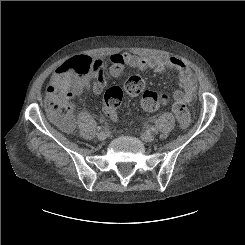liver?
<instances>
[{"mask_svg": "<svg viewBox=\"0 0 245 245\" xmlns=\"http://www.w3.org/2000/svg\"><path fill=\"white\" fill-rule=\"evenodd\" d=\"M68 87V82H65V88H67Z\"/></svg>", "mask_w": 245, "mask_h": 245, "instance_id": "6515ba94", "label": "liver"}]
</instances>
